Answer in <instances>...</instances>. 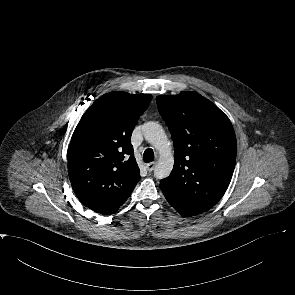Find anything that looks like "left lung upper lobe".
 Returning <instances> with one entry per match:
<instances>
[{"mask_svg": "<svg viewBox=\"0 0 295 295\" xmlns=\"http://www.w3.org/2000/svg\"><path fill=\"white\" fill-rule=\"evenodd\" d=\"M174 143V167L160 182L179 210L194 216L212 208L226 192L237 146L228 117L197 92L156 97Z\"/></svg>", "mask_w": 295, "mask_h": 295, "instance_id": "5c2ea615", "label": "left lung upper lobe"}]
</instances>
